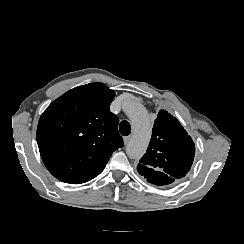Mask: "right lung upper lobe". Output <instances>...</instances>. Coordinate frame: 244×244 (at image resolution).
<instances>
[{"label":"right lung upper lobe","mask_w":244,"mask_h":244,"mask_svg":"<svg viewBox=\"0 0 244 244\" xmlns=\"http://www.w3.org/2000/svg\"><path fill=\"white\" fill-rule=\"evenodd\" d=\"M114 96L104 84L90 83L66 92L44 111L37 143L45 166L57 179L71 184L90 181L123 147L119 119L109 110Z\"/></svg>","instance_id":"obj_1"}]
</instances>
